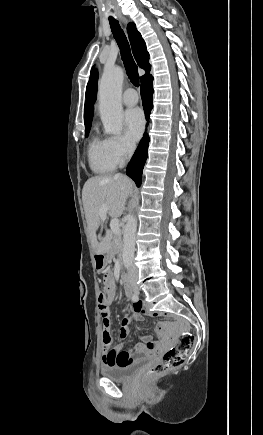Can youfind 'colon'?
<instances>
[{
	"instance_id": "5ec220e1",
	"label": "colon",
	"mask_w": 263,
	"mask_h": 435,
	"mask_svg": "<svg viewBox=\"0 0 263 435\" xmlns=\"http://www.w3.org/2000/svg\"><path fill=\"white\" fill-rule=\"evenodd\" d=\"M103 299L104 293H100L99 302H102ZM101 339V350H114V341L117 339V336L113 333L111 328H104L102 330ZM194 341V336L186 330L180 336L178 344L167 350L161 361L146 370L143 373L141 380L145 383L151 382L165 373L183 365L193 348Z\"/></svg>"
}]
</instances>
